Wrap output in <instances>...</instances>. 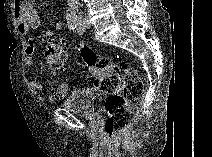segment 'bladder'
Returning a JSON list of instances; mask_svg holds the SVG:
<instances>
[{
  "mask_svg": "<svg viewBox=\"0 0 212 157\" xmlns=\"http://www.w3.org/2000/svg\"><path fill=\"white\" fill-rule=\"evenodd\" d=\"M104 99L103 92L84 87L71 91L61 102V106L87 119L95 120L99 114V105Z\"/></svg>",
  "mask_w": 212,
  "mask_h": 157,
  "instance_id": "1",
  "label": "bladder"
}]
</instances>
